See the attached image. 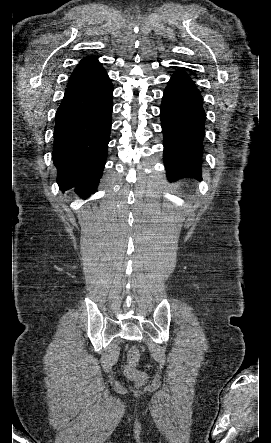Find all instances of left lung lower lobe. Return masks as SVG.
Masks as SVG:
<instances>
[{"instance_id":"1","label":"left lung lower lobe","mask_w":271,"mask_h":443,"mask_svg":"<svg viewBox=\"0 0 271 443\" xmlns=\"http://www.w3.org/2000/svg\"><path fill=\"white\" fill-rule=\"evenodd\" d=\"M160 117L168 179L201 180L206 114L197 86L183 69L172 75L164 90Z\"/></svg>"}]
</instances>
